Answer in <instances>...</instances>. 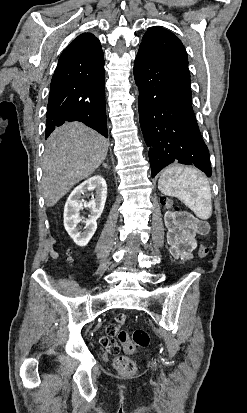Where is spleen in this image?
I'll return each instance as SVG.
<instances>
[{
    "label": "spleen",
    "instance_id": "spleen-1",
    "mask_svg": "<svg viewBox=\"0 0 247 413\" xmlns=\"http://www.w3.org/2000/svg\"><path fill=\"white\" fill-rule=\"evenodd\" d=\"M159 190L169 196H177L199 219H209L211 188L203 172L191 166H168L158 182Z\"/></svg>",
    "mask_w": 247,
    "mask_h": 413
}]
</instances>
